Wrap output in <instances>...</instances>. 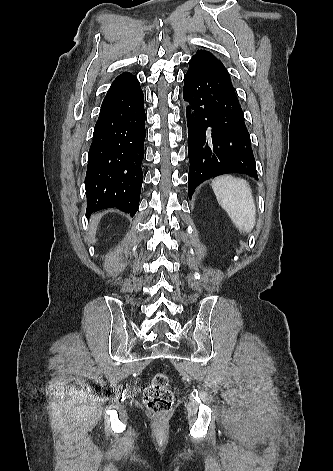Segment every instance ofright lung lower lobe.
Segmentation results:
<instances>
[{
    "instance_id": "98d812e1",
    "label": "right lung lower lobe",
    "mask_w": 333,
    "mask_h": 471,
    "mask_svg": "<svg viewBox=\"0 0 333 471\" xmlns=\"http://www.w3.org/2000/svg\"><path fill=\"white\" fill-rule=\"evenodd\" d=\"M145 136L144 95L130 74L112 83L94 128L85 178L86 216L110 207L135 215Z\"/></svg>"
}]
</instances>
